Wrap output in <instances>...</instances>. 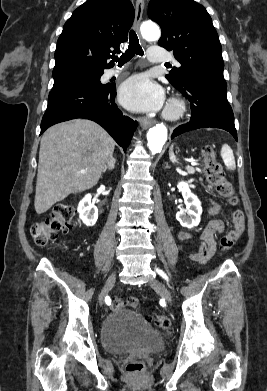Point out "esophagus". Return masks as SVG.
<instances>
[{
    "label": "esophagus",
    "mask_w": 267,
    "mask_h": 391,
    "mask_svg": "<svg viewBox=\"0 0 267 391\" xmlns=\"http://www.w3.org/2000/svg\"><path fill=\"white\" fill-rule=\"evenodd\" d=\"M143 10H144V0H136L134 27L137 32H139V26H140V22L142 20ZM142 43L145 45L144 42H142ZM139 122H140L142 128L146 129V128L152 126L155 123V120H151V119H147L145 117H142L139 119Z\"/></svg>",
    "instance_id": "esophagus-1"
}]
</instances>
